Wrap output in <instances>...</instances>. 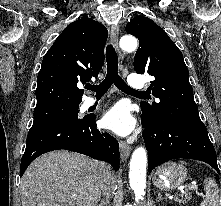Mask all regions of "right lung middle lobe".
Instances as JSON below:
<instances>
[{"instance_id":"right-lung-middle-lobe-1","label":"right lung middle lobe","mask_w":221,"mask_h":206,"mask_svg":"<svg viewBox=\"0 0 221 206\" xmlns=\"http://www.w3.org/2000/svg\"><path fill=\"white\" fill-rule=\"evenodd\" d=\"M79 104H58L35 107L33 124L60 120V119H78Z\"/></svg>"}]
</instances>
